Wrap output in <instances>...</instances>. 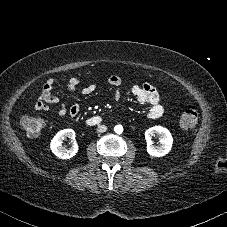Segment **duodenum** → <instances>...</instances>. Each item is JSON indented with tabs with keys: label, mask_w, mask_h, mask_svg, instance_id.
I'll list each match as a JSON object with an SVG mask.
<instances>
[{
	"label": "duodenum",
	"mask_w": 227,
	"mask_h": 227,
	"mask_svg": "<svg viewBox=\"0 0 227 227\" xmlns=\"http://www.w3.org/2000/svg\"><path fill=\"white\" fill-rule=\"evenodd\" d=\"M102 121V118L99 116H93L86 120L87 125L93 126L99 124Z\"/></svg>",
	"instance_id": "410a0bca"
}]
</instances>
